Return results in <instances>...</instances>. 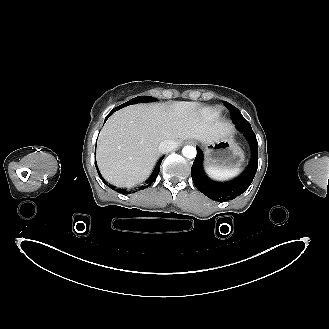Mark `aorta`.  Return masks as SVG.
I'll return each instance as SVG.
<instances>
[{"label":"aorta","instance_id":"762f6f07","mask_svg":"<svg viewBox=\"0 0 329 329\" xmlns=\"http://www.w3.org/2000/svg\"><path fill=\"white\" fill-rule=\"evenodd\" d=\"M182 154L188 159H193L196 157L197 151L196 148L190 145L183 147Z\"/></svg>","mask_w":329,"mask_h":329}]
</instances>
